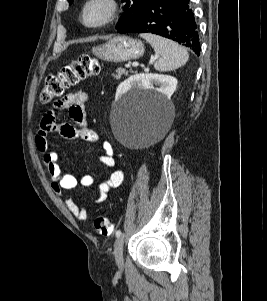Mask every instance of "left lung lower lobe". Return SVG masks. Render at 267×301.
Here are the masks:
<instances>
[{
	"label": "left lung lower lobe",
	"instance_id": "obj_1",
	"mask_svg": "<svg viewBox=\"0 0 267 301\" xmlns=\"http://www.w3.org/2000/svg\"><path fill=\"white\" fill-rule=\"evenodd\" d=\"M118 33H152L172 39L199 55L200 43L189 0H148Z\"/></svg>",
	"mask_w": 267,
	"mask_h": 301
}]
</instances>
